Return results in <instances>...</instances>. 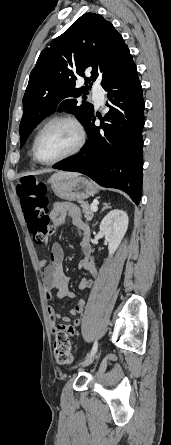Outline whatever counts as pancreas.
Instances as JSON below:
<instances>
[{
	"label": "pancreas",
	"mask_w": 171,
	"mask_h": 445,
	"mask_svg": "<svg viewBox=\"0 0 171 445\" xmlns=\"http://www.w3.org/2000/svg\"><path fill=\"white\" fill-rule=\"evenodd\" d=\"M82 208V212L87 221H91L93 218V211L90 209L89 204L84 201L79 202ZM69 215L73 218H78L81 215L80 209L76 208L75 210H69Z\"/></svg>",
	"instance_id": "pancreas-1"
}]
</instances>
